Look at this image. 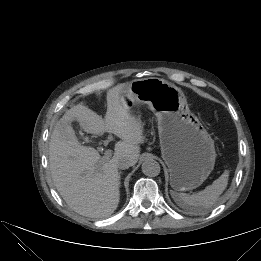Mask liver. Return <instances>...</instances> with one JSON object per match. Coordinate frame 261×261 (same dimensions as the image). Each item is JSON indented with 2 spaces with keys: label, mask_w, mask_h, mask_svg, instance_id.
Masks as SVG:
<instances>
[{
  "label": "liver",
  "mask_w": 261,
  "mask_h": 261,
  "mask_svg": "<svg viewBox=\"0 0 261 261\" xmlns=\"http://www.w3.org/2000/svg\"><path fill=\"white\" fill-rule=\"evenodd\" d=\"M130 83L108 90L107 112L103 119L83 102L72 106L57 122L49 143V167L53 183L75 212L92 218L111 215L120 199V177L117 162L122 157L136 164L143 143V124L131 114L122 99L123 90ZM92 135L112 133L122 141L115 144L111 159H102L92 147L82 146L70 136L71 123Z\"/></svg>",
  "instance_id": "1"
}]
</instances>
